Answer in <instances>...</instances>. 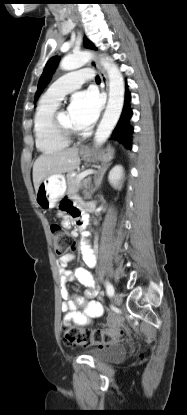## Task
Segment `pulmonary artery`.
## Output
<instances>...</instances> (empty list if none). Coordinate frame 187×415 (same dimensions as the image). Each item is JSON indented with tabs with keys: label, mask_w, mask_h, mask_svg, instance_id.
I'll return each instance as SVG.
<instances>
[{
	"label": "pulmonary artery",
	"mask_w": 187,
	"mask_h": 415,
	"mask_svg": "<svg viewBox=\"0 0 187 415\" xmlns=\"http://www.w3.org/2000/svg\"><path fill=\"white\" fill-rule=\"evenodd\" d=\"M91 69H83L68 73L55 81L46 91L45 96L53 101H60L66 94L73 92L81 85L93 79Z\"/></svg>",
	"instance_id": "pulmonary-artery-1"
}]
</instances>
